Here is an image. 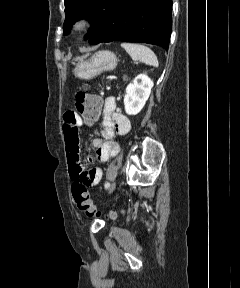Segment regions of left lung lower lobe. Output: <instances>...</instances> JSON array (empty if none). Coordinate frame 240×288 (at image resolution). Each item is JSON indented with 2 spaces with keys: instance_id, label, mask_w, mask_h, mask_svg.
Here are the masks:
<instances>
[{
  "instance_id": "0a47b994",
  "label": "left lung lower lobe",
  "mask_w": 240,
  "mask_h": 288,
  "mask_svg": "<svg viewBox=\"0 0 240 288\" xmlns=\"http://www.w3.org/2000/svg\"><path fill=\"white\" fill-rule=\"evenodd\" d=\"M172 0H110L90 44L112 41L143 42L168 49Z\"/></svg>"
}]
</instances>
